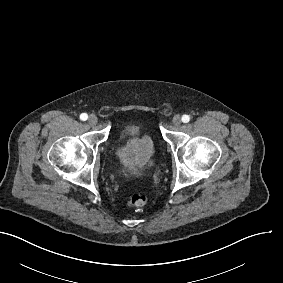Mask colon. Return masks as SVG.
<instances>
[{
	"instance_id": "5ec220e1",
	"label": "colon",
	"mask_w": 283,
	"mask_h": 283,
	"mask_svg": "<svg viewBox=\"0 0 283 283\" xmlns=\"http://www.w3.org/2000/svg\"><path fill=\"white\" fill-rule=\"evenodd\" d=\"M130 204L137 209H141L147 204V198L141 193H134L130 197Z\"/></svg>"
}]
</instances>
